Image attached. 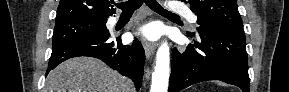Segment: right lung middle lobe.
I'll return each instance as SVG.
<instances>
[{
    "label": "right lung middle lobe",
    "instance_id": "obj_1",
    "mask_svg": "<svg viewBox=\"0 0 289 92\" xmlns=\"http://www.w3.org/2000/svg\"><path fill=\"white\" fill-rule=\"evenodd\" d=\"M106 22L107 21L71 20L56 23L52 37V48L78 40L98 39L109 36L105 26Z\"/></svg>",
    "mask_w": 289,
    "mask_h": 92
}]
</instances>
